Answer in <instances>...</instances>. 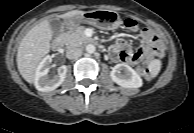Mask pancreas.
Segmentation results:
<instances>
[{
	"instance_id": "obj_1",
	"label": "pancreas",
	"mask_w": 194,
	"mask_h": 133,
	"mask_svg": "<svg viewBox=\"0 0 194 133\" xmlns=\"http://www.w3.org/2000/svg\"><path fill=\"white\" fill-rule=\"evenodd\" d=\"M64 40L68 47H78L91 41V38L85 35V27L80 26L73 32L65 34Z\"/></svg>"
}]
</instances>
